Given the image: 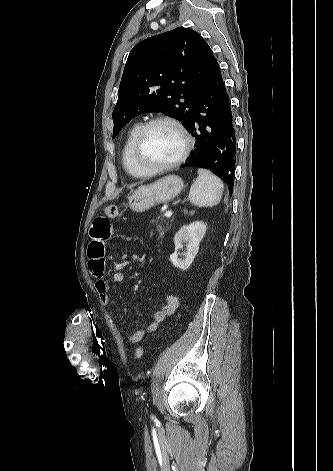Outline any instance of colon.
<instances>
[{"label":"colon","instance_id":"5ec220e1","mask_svg":"<svg viewBox=\"0 0 333 471\" xmlns=\"http://www.w3.org/2000/svg\"><path fill=\"white\" fill-rule=\"evenodd\" d=\"M104 214L105 216L109 218H117L120 215V209L117 206L114 205H109L105 207L104 209ZM144 350L142 347H138L135 350V356L136 358H141L143 356Z\"/></svg>","mask_w":333,"mask_h":471}]
</instances>
